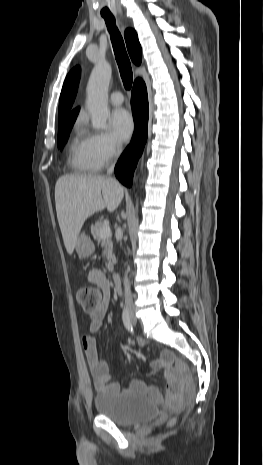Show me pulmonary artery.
<instances>
[{
	"mask_svg": "<svg viewBox=\"0 0 263 465\" xmlns=\"http://www.w3.org/2000/svg\"><path fill=\"white\" fill-rule=\"evenodd\" d=\"M109 101L113 105H121L123 103V101H124V98H123V95H122L121 92L115 91V92L111 93V95L109 97Z\"/></svg>",
	"mask_w": 263,
	"mask_h": 465,
	"instance_id": "pulmonary-artery-1",
	"label": "pulmonary artery"
}]
</instances>
